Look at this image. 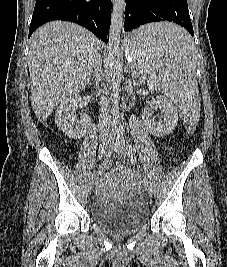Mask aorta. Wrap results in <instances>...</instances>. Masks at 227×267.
I'll list each match as a JSON object with an SVG mask.
<instances>
[{
	"instance_id": "1",
	"label": "aorta",
	"mask_w": 227,
	"mask_h": 267,
	"mask_svg": "<svg viewBox=\"0 0 227 267\" xmlns=\"http://www.w3.org/2000/svg\"><path fill=\"white\" fill-rule=\"evenodd\" d=\"M125 0H114L109 30V68L114 99L118 98L122 69L120 64V38L124 23Z\"/></svg>"
}]
</instances>
